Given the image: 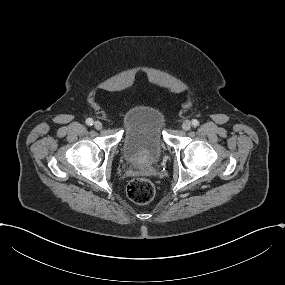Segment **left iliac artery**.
<instances>
[{"mask_svg":"<svg viewBox=\"0 0 285 285\" xmlns=\"http://www.w3.org/2000/svg\"><path fill=\"white\" fill-rule=\"evenodd\" d=\"M191 123H192V125H193L194 127H197V126L199 125V121L196 120V119H193V120L191 121Z\"/></svg>","mask_w":285,"mask_h":285,"instance_id":"44dca946","label":"left iliac artery"}]
</instances>
